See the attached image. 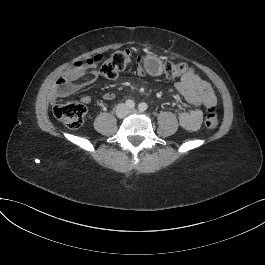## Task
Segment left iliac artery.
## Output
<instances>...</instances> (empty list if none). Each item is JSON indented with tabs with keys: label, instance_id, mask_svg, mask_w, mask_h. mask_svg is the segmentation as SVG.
Listing matches in <instances>:
<instances>
[{
	"label": "left iliac artery",
	"instance_id": "left-iliac-artery-1",
	"mask_svg": "<svg viewBox=\"0 0 265 265\" xmlns=\"http://www.w3.org/2000/svg\"><path fill=\"white\" fill-rule=\"evenodd\" d=\"M138 109H139L140 111H146V110L148 109V105H147L146 103L142 102V103H140V104L138 105Z\"/></svg>",
	"mask_w": 265,
	"mask_h": 265
}]
</instances>
